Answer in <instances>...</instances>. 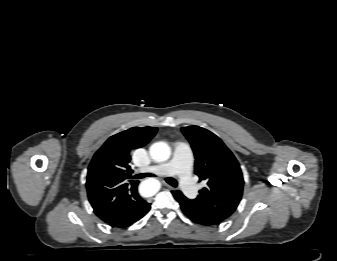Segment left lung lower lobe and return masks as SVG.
<instances>
[{
    "mask_svg": "<svg viewBox=\"0 0 337 261\" xmlns=\"http://www.w3.org/2000/svg\"><path fill=\"white\" fill-rule=\"evenodd\" d=\"M174 198L180 203L183 213L193 222L204 226L219 225L222 221L193 206L180 191H172Z\"/></svg>",
    "mask_w": 337,
    "mask_h": 261,
    "instance_id": "left-lung-lower-lobe-1",
    "label": "left lung lower lobe"
}]
</instances>
